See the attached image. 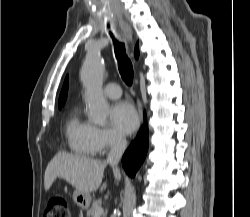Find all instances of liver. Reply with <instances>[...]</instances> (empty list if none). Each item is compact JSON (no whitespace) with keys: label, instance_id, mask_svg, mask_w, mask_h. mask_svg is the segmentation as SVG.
<instances>
[{"label":"liver","instance_id":"liver-1","mask_svg":"<svg viewBox=\"0 0 250 217\" xmlns=\"http://www.w3.org/2000/svg\"><path fill=\"white\" fill-rule=\"evenodd\" d=\"M106 162L59 152L48 164L44 176V188L48 191L57 178H62L79 192H93L102 184ZM120 178V175L116 176ZM103 183L100 191L106 189Z\"/></svg>","mask_w":250,"mask_h":217}]
</instances>
